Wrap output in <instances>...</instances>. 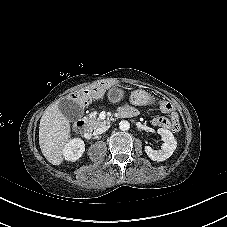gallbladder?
<instances>
[{"label": "gallbladder", "instance_id": "bac80fb5", "mask_svg": "<svg viewBox=\"0 0 227 227\" xmlns=\"http://www.w3.org/2000/svg\"><path fill=\"white\" fill-rule=\"evenodd\" d=\"M58 108L68 120H76L83 115L82 106L70 99L61 100Z\"/></svg>", "mask_w": 227, "mask_h": 227}]
</instances>
